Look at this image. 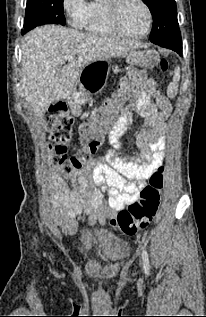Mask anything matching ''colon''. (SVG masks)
<instances>
[{
  "label": "colon",
  "mask_w": 206,
  "mask_h": 317,
  "mask_svg": "<svg viewBox=\"0 0 206 317\" xmlns=\"http://www.w3.org/2000/svg\"><path fill=\"white\" fill-rule=\"evenodd\" d=\"M139 65L144 69L158 66L161 71L168 68L167 60L157 53L143 56ZM145 81L146 75L142 69L131 68L128 71V75L120 81L117 90L105 101L99 113L82 124L81 151L74 156L67 154L73 119L65 105L50 108L45 118V126L50 133V163L65 175L83 171L90 164L91 156L104 145L111 124L122 116L125 102L137 93L139 86ZM163 185L164 168L160 167L141 190L139 199L129 205L128 209L120 211L111 220V224L127 235L146 228L159 208Z\"/></svg>",
  "instance_id": "5ec220e1"
}]
</instances>
